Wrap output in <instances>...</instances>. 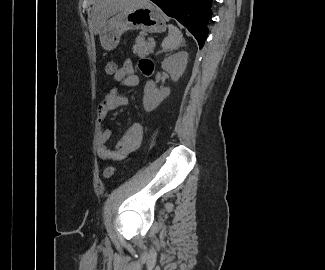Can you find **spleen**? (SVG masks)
Returning <instances> with one entry per match:
<instances>
[{"mask_svg":"<svg viewBox=\"0 0 325 270\" xmlns=\"http://www.w3.org/2000/svg\"><path fill=\"white\" fill-rule=\"evenodd\" d=\"M168 36L162 42V48L165 51L177 49L184 42L181 31L174 25H168Z\"/></svg>","mask_w":325,"mask_h":270,"instance_id":"spleen-1","label":"spleen"}]
</instances>
